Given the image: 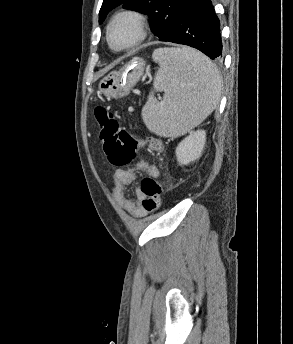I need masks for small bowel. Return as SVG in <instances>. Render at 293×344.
<instances>
[{"mask_svg":"<svg viewBox=\"0 0 293 344\" xmlns=\"http://www.w3.org/2000/svg\"><path fill=\"white\" fill-rule=\"evenodd\" d=\"M136 172H142L154 178L159 176L157 166L146 160H140L133 167L117 170L114 175L122 187H127L135 181ZM143 199L144 195L139 189L136 190L135 199L126 197L123 193L118 197L120 206L135 217H143L146 214L141 206Z\"/></svg>","mask_w":293,"mask_h":344,"instance_id":"obj_1","label":"small bowel"}]
</instances>
